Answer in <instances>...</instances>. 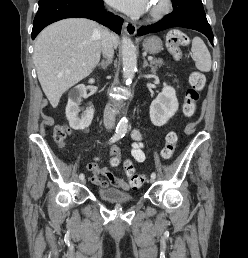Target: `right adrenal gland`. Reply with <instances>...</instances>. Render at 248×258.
I'll list each match as a JSON object with an SVG mask.
<instances>
[{"label":"right adrenal gland","mask_w":248,"mask_h":258,"mask_svg":"<svg viewBox=\"0 0 248 258\" xmlns=\"http://www.w3.org/2000/svg\"><path fill=\"white\" fill-rule=\"evenodd\" d=\"M111 61L109 60H103L98 64V67H100L103 70H106L107 66L110 64Z\"/></svg>","instance_id":"right-adrenal-gland-1"}]
</instances>
